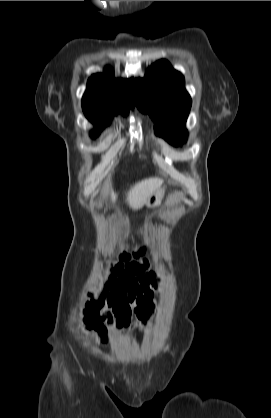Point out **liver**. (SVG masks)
<instances>
[{
  "label": "liver",
  "instance_id": "obj_1",
  "mask_svg": "<svg viewBox=\"0 0 271 418\" xmlns=\"http://www.w3.org/2000/svg\"><path fill=\"white\" fill-rule=\"evenodd\" d=\"M162 180L148 178L136 183L127 193V202L133 210L140 209L147 200L161 187ZM116 194L112 191L111 199L116 201Z\"/></svg>",
  "mask_w": 271,
  "mask_h": 418
}]
</instances>
